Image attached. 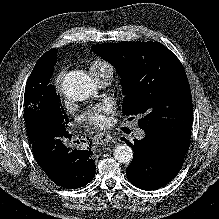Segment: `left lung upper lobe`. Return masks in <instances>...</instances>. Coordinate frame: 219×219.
I'll return each mask as SVG.
<instances>
[{
  "label": "left lung upper lobe",
  "mask_w": 219,
  "mask_h": 219,
  "mask_svg": "<svg viewBox=\"0 0 219 219\" xmlns=\"http://www.w3.org/2000/svg\"><path fill=\"white\" fill-rule=\"evenodd\" d=\"M118 70L125 97L123 115H140L145 132L165 136L191 132L192 96L179 59L159 42L105 43L92 46Z\"/></svg>",
  "instance_id": "5c2ea615"
}]
</instances>
